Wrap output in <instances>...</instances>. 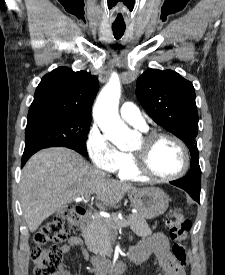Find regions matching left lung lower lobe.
I'll return each mask as SVG.
<instances>
[{"label": "left lung lower lobe", "instance_id": "left-lung-lower-lobe-1", "mask_svg": "<svg viewBox=\"0 0 225 275\" xmlns=\"http://www.w3.org/2000/svg\"><path fill=\"white\" fill-rule=\"evenodd\" d=\"M170 183L184 189L194 200L200 202L201 173L189 172L183 178Z\"/></svg>", "mask_w": 225, "mask_h": 275}]
</instances>
